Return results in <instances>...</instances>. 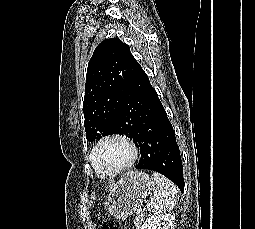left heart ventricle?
<instances>
[{"label": "left heart ventricle", "mask_w": 255, "mask_h": 229, "mask_svg": "<svg viewBox=\"0 0 255 229\" xmlns=\"http://www.w3.org/2000/svg\"><path fill=\"white\" fill-rule=\"evenodd\" d=\"M97 158L108 168H119L130 160L131 151L123 142L112 140L101 146Z\"/></svg>", "instance_id": "1"}]
</instances>
